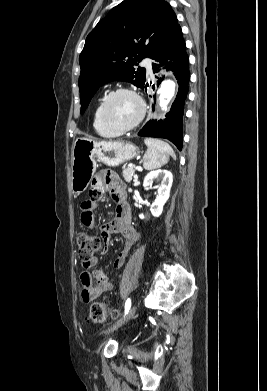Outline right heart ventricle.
Listing matches in <instances>:
<instances>
[{
  "label": "right heart ventricle",
  "mask_w": 267,
  "mask_h": 391,
  "mask_svg": "<svg viewBox=\"0 0 267 391\" xmlns=\"http://www.w3.org/2000/svg\"><path fill=\"white\" fill-rule=\"evenodd\" d=\"M101 102H99L93 113V127L95 132L105 138H112L120 135L121 133L115 132L109 129L102 121L100 116Z\"/></svg>",
  "instance_id": "obj_1"
}]
</instances>
